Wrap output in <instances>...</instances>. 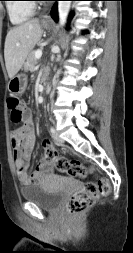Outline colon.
Wrapping results in <instances>:
<instances>
[{"instance_id": "colon-1", "label": "colon", "mask_w": 133, "mask_h": 253, "mask_svg": "<svg viewBox=\"0 0 133 253\" xmlns=\"http://www.w3.org/2000/svg\"><path fill=\"white\" fill-rule=\"evenodd\" d=\"M7 106L13 122L18 123L24 120L26 107L23 100L15 95L7 98ZM43 142H50V137H43ZM43 159L55 166V168L71 177L84 178L89 169L78 161L67 160L58 155V152L47 145ZM111 190V183L107 178H100L96 183H87L82 191L71 196L66 204V212L75 215L87 210L100 197L107 196Z\"/></svg>"}]
</instances>
